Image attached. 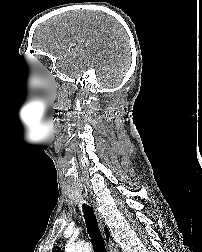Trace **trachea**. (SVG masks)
Wrapping results in <instances>:
<instances>
[{"label": "trachea", "instance_id": "1", "mask_svg": "<svg viewBox=\"0 0 202 252\" xmlns=\"http://www.w3.org/2000/svg\"><path fill=\"white\" fill-rule=\"evenodd\" d=\"M82 210L87 227V232L92 241V245L95 252H106L105 244L100 234L98 222L94 211L89 205L85 203L82 205Z\"/></svg>", "mask_w": 202, "mask_h": 252}]
</instances>
